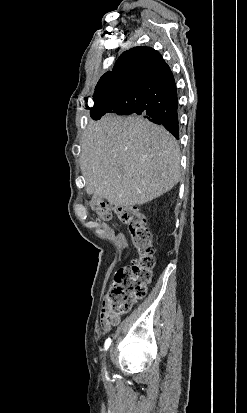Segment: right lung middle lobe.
Segmentation results:
<instances>
[{
    "mask_svg": "<svg viewBox=\"0 0 247 413\" xmlns=\"http://www.w3.org/2000/svg\"><path fill=\"white\" fill-rule=\"evenodd\" d=\"M135 89L127 82H101L99 81L94 93L95 104L107 98L116 97H134ZM94 104V105H95Z\"/></svg>",
    "mask_w": 247,
    "mask_h": 413,
    "instance_id": "dd1d6c3e",
    "label": "right lung middle lobe"
}]
</instances>
